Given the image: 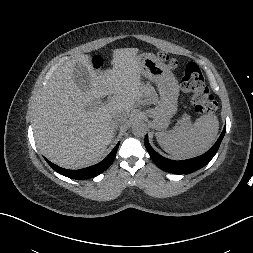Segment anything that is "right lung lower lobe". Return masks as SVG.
<instances>
[{
	"instance_id": "98d812e1",
	"label": "right lung lower lobe",
	"mask_w": 253,
	"mask_h": 253,
	"mask_svg": "<svg viewBox=\"0 0 253 253\" xmlns=\"http://www.w3.org/2000/svg\"><path fill=\"white\" fill-rule=\"evenodd\" d=\"M118 147H119V143L115 146V148L111 151V153L100 163L84 168V169H79V170L64 169L53 164L46 158L45 160L56 172L60 173L61 175H64L69 178L77 179V180L89 179V178H93L99 175L100 173L104 172L107 168H109V166L112 164L116 156Z\"/></svg>"
}]
</instances>
